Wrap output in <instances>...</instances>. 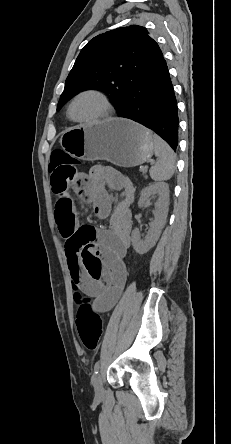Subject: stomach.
I'll list each match as a JSON object with an SVG mask.
<instances>
[{
	"label": "stomach",
	"mask_w": 231,
	"mask_h": 444,
	"mask_svg": "<svg viewBox=\"0 0 231 444\" xmlns=\"http://www.w3.org/2000/svg\"><path fill=\"white\" fill-rule=\"evenodd\" d=\"M62 148L71 156L88 161L107 160L117 166L134 167L154 152L152 133L124 118L79 125L65 130Z\"/></svg>",
	"instance_id": "stomach-1"
}]
</instances>
